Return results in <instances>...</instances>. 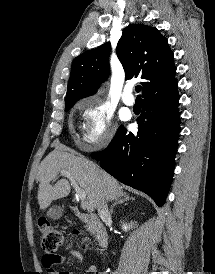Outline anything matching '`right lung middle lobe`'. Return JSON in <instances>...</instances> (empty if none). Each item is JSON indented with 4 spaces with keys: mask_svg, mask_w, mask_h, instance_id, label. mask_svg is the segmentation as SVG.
Instances as JSON below:
<instances>
[{
    "mask_svg": "<svg viewBox=\"0 0 215 274\" xmlns=\"http://www.w3.org/2000/svg\"><path fill=\"white\" fill-rule=\"evenodd\" d=\"M72 106H73V104L72 105H65V110L70 109Z\"/></svg>",
    "mask_w": 215,
    "mask_h": 274,
    "instance_id": "right-lung-middle-lobe-1",
    "label": "right lung middle lobe"
}]
</instances>
